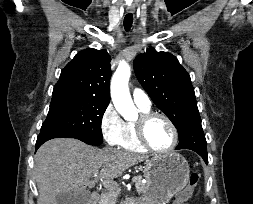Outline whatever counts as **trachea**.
<instances>
[{
    "mask_svg": "<svg viewBox=\"0 0 253 204\" xmlns=\"http://www.w3.org/2000/svg\"><path fill=\"white\" fill-rule=\"evenodd\" d=\"M133 15L131 13L126 14L124 18V28L126 31H129L132 27Z\"/></svg>",
    "mask_w": 253,
    "mask_h": 204,
    "instance_id": "3493384b",
    "label": "trachea"
}]
</instances>
